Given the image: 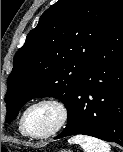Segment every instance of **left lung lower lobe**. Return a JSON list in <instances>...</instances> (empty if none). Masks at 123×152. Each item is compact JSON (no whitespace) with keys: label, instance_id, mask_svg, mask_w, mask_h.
<instances>
[{"label":"left lung lower lobe","instance_id":"0a47b994","mask_svg":"<svg viewBox=\"0 0 123 152\" xmlns=\"http://www.w3.org/2000/svg\"><path fill=\"white\" fill-rule=\"evenodd\" d=\"M67 110L66 128L55 139L83 134L123 146V2L87 60Z\"/></svg>","mask_w":123,"mask_h":152}]
</instances>
